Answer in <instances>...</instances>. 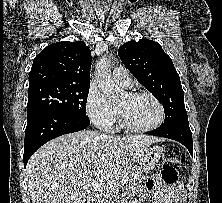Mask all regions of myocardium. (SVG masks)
Returning a JSON list of instances; mask_svg holds the SVG:
<instances>
[{
    "label": "myocardium",
    "mask_w": 222,
    "mask_h": 203,
    "mask_svg": "<svg viewBox=\"0 0 222 203\" xmlns=\"http://www.w3.org/2000/svg\"><path fill=\"white\" fill-rule=\"evenodd\" d=\"M125 95L129 98H135V97H140V96H145V97L150 98L157 105L159 112H160V116H159V119L154 124H152L150 126H146V127H139V126L132 124L127 119V117L125 116V114L123 113L121 108L119 106H117L119 120H120V123L123 127H125L126 129H128L130 131H134V132H149V131L157 129L158 127H160L163 124V122L165 120V109H164L163 104L160 102V100L156 96H154L150 92H145V91L126 92Z\"/></svg>",
    "instance_id": "1"
}]
</instances>
